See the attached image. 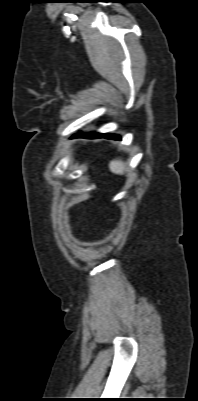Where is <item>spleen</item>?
I'll return each mask as SVG.
<instances>
[{
  "mask_svg": "<svg viewBox=\"0 0 198 401\" xmlns=\"http://www.w3.org/2000/svg\"><path fill=\"white\" fill-rule=\"evenodd\" d=\"M109 169L115 174H123L125 171V164L121 160H112L109 163Z\"/></svg>",
  "mask_w": 198,
  "mask_h": 401,
  "instance_id": "obj_1",
  "label": "spleen"
}]
</instances>
